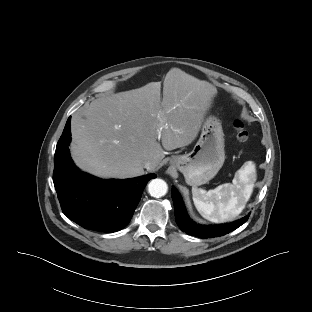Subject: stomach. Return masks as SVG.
I'll list each match as a JSON object with an SVG mask.
<instances>
[{
    "instance_id": "stomach-1",
    "label": "stomach",
    "mask_w": 312,
    "mask_h": 312,
    "mask_svg": "<svg viewBox=\"0 0 312 312\" xmlns=\"http://www.w3.org/2000/svg\"><path fill=\"white\" fill-rule=\"evenodd\" d=\"M224 134L220 120L210 115L190 153L173 156L170 165L179 170L190 186H200L218 173L225 161Z\"/></svg>"
}]
</instances>
